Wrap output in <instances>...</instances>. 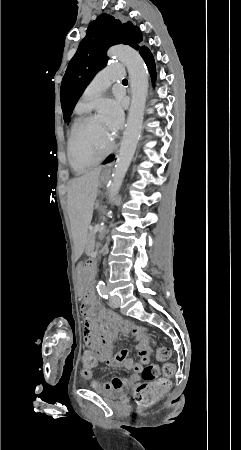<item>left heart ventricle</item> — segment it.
<instances>
[{
    "label": "left heart ventricle",
    "mask_w": 241,
    "mask_h": 450,
    "mask_svg": "<svg viewBox=\"0 0 241 450\" xmlns=\"http://www.w3.org/2000/svg\"><path fill=\"white\" fill-rule=\"evenodd\" d=\"M79 139L75 141V154L86 169H95V160H104L114 140L110 125L99 115H89L80 124Z\"/></svg>",
    "instance_id": "left-heart-ventricle-1"
}]
</instances>
